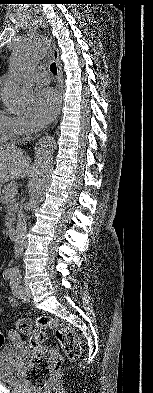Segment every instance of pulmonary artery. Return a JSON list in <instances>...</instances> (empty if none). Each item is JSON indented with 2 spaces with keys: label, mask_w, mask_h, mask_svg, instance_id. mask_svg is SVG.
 I'll use <instances>...</instances> for the list:
<instances>
[{
  "label": "pulmonary artery",
  "mask_w": 153,
  "mask_h": 393,
  "mask_svg": "<svg viewBox=\"0 0 153 393\" xmlns=\"http://www.w3.org/2000/svg\"><path fill=\"white\" fill-rule=\"evenodd\" d=\"M35 83L39 85H45L49 82V77L47 73H35L32 75Z\"/></svg>",
  "instance_id": "1"
}]
</instances>
